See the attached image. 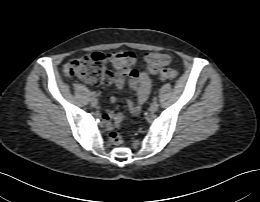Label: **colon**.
Wrapping results in <instances>:
<instances>
[{
    "label": "colon",
    "instance_id": "obj_1",
    "mask_svg": "<svg viewBox=\"0 0 260 202\" xmlns=\"http://www.w3.org/2000/svg\"><path fill=\"white\" fill-rule=\"evenodd\" d=\"M145 61L148 70L158 73L161 80L171 81L176 78L177 72L166 67L171 61L168 54L151 52L146 56ZM133 62L134 56L127 50L114 51L110 54L93 53L68 61L63 67V73L69 78H77L99 86L112 83L117 75L110 69L109 63L113 64L120 75H127ZM109 137L115 145L123 143L121 137L115 132Z\"/></svg>",
    "mask_w": 260,
    "mask_h": 202
}]
</instances>
